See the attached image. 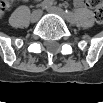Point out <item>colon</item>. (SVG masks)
I'll use <instances>...</instances> for the list:
<instances>
[{"mask_svg":"<svg viewBox=\"0 0 103 103\" xmlns=\"http://www.w3.org/2000/svg\"><path fill=\"white\" fill-rule=\"evenodd\" d=\"M86 3H87V6L95 9L96 20L98 22H103V5L101 3L95 2V1H88ZM10 5H11V3L9 1H3L1 3L2 12H5Z\"/></svg>","mask_w":103,"mask_h":103,"instance_id":"colon-1","label":"colon"}]
</instances>
